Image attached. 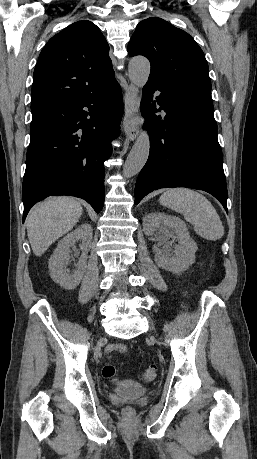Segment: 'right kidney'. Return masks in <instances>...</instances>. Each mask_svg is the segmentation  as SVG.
<instances>
[{"mask_svg": "<svg viewBox=\"0 0 257 459\" xmlns=\"http://www.w3.org/2000/svg\"><path fill=\"white\" fill-rule=\"evenodd\" d=\"M92 235L93 229L91 225L82 224L58 242L57 248L49 259L48 267L52 280L61 287L72 290L81 282L87 263V254L91 248ZM77 240L82 241L80 245L82 254L79 262L76 264V270L72 271L70 274L66 266L70 261V247H72Z\"/></svg>", "mask_w": 257, "mask_h": 459, "instance_id": "1", "label": "right kidney"}]
</instances>
